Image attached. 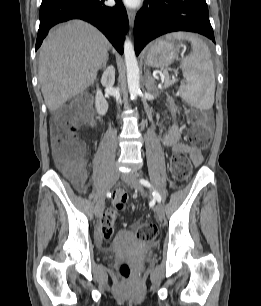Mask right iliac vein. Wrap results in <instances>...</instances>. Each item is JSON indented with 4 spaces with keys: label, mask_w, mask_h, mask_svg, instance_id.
Listing matches in <instances>:
<instances>
[{
    "label": "right iliac vein",
    "mask_w": 261,
    "mask_h": 306,
    "mask_svg": "<svg viewBox=\"0 0 261 306\" xmlns=\"http://www.w3.org/2000/svg\"><path fill=\"white\" fill-rule=\"evenodd\" d=\"M119 178V170L116 167H113L109 173V177H108V181L105 187V190L103 191V193L101 194V196L99 197V199L97 200L96 203V211H95V215L98 217L103 208H104V202H105V194L108 190H110L112 188V186L116 183V181Z\"/></svg>",
    "instance_id": "63e3f726"
}]
</instances>
